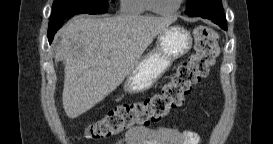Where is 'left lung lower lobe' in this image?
<instances>
[{
	"label": "left lung lower lobe",
	"instance_id": "obj_1",
	"mask_svg": "<svg viewBox=\"0 0 273 144\" xmlns=\"http://www.w3.org/2000/svg\"><path fill=\"white\" fill-rule=\"evenodd\" d=\"M201 2L205 3L206 5H209V8L202 10L196 16H199L205 19H210L212 22L219 25L222 29L226 30L227 22H226L225 14L223 12V8H220L219 6L214 5L211 0H201Z\"/></svg>",
	"mask_w": 273,
	"mask_h": 144
}]
</instances>
